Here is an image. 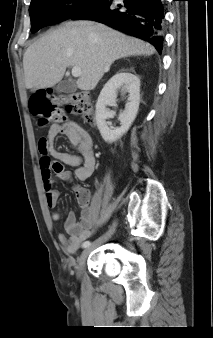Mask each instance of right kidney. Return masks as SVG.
I'll use <instances>...</instances> for the list:
<instances>
[{
    "instance_id": "right-kidney-1",
    "label": "right kidney",
    "mask_w": 213,
    "mask_h": 338,
    "mask_svg": "<svg viewBox=\"0 0 213 338\" xmlns=\"http://www.w3.org/2000/svg\"><path fill=\"white\" fill-rule=\"evenodd\" d=\"M129 93L125 110L120 113V128H111L106 120L113 118L114 114L109 112L107 105L116 102L117 93ZM140 103V79L129 72L115 74L103 87L96 103V123L102 138L112 143L125 134L131 127L138 113Z\"/></svg>"
}]
</instances>
